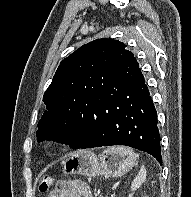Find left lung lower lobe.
I'll use <instances>...</instances> for the list:
<instances>
[{
	"mask_svg": "<svg viewBox=\"0 0 191 197\" xmlns=\"http://www.w3.org/2000/svg\"><path fill=\"white\" fill-rule=\"evenodd\" d=\"M66 143L74 149L126 145L151 154L162 165L157 113L141 71L105 93L93 112L78 118Z\"/></svg>",
	"mask_w": 191,
	"mask_h": 197,
	"instance_id": "0a47b994",
	"label": "left lung lower lobe"
}]
</instances>
